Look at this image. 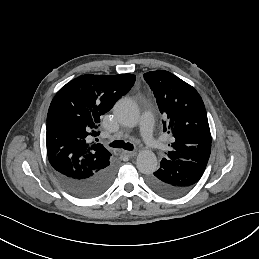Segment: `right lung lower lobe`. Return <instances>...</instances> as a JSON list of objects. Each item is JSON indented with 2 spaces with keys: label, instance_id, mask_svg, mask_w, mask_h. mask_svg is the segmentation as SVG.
I'll return each instance as SVG.
<instances>
[{
  "label": "right lung lower lobe",
  "instance_id": "obj_1",
  "mask_svg": "<svg viewBox=\"0 0 259 259\" xmlns=\"http://www.w3.org/2000/svg\"><path fill=\"white\" fill-rule=\"evenodd\" d=\"M59 183L72 195L79 198H94L106 192L112 184L115 167L109 164L105 169L86 179H74L54 171Z\"/></svg>",
  "mask_w": 259,
  "mask_h": 259
}]
</instances>
